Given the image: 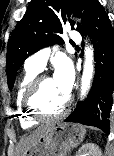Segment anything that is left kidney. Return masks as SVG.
<instances>
[{
    "instance_id": "left-kidney-1",
    "label": "left kidney",
    "mask_w": 114,
    "mask_h": 156,
    "mask_svg": "<svg viewBox=\"0 0 114 156\" xmlns=\"http://www.w3.org/2000/svg\"><path fill=\"white\" fill-rule=\"evenodd\" d=\"M75 156H102V152L96 144L86 143L80 147Z\"/></svg>"
}]
</instances>
